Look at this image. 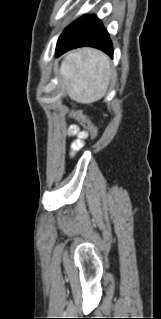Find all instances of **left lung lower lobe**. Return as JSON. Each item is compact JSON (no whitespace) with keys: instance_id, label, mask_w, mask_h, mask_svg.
Listing matches in <instances>:
<instances>
[{"instance_id":"obj_1","label":"left lung lower lobe","mask_w":161,"mask_h":319,"mask_svg":"<svg viewBox=\"0 0 161 319\" xmlns=\"http://www.w3.org/2000/svg\"><path fill=\"white\" fill-rule=\"evenodd\" d=\"M82 46L100 49L113 58L109 34L95 15L84 18L66 36L58 40L56 56Z\"/></svg>"}]
</instances>
